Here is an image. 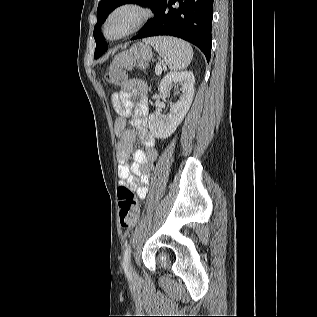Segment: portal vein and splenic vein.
Masks as SVG:
<instances>
[{"label":"portal vein and splenic vein","instance_id":"1","mask_svg":"<svg viewBox=\"0 0 317 317\" xmlns=\"http://www.w3.org/2000/svg\"><path fill=\"white\" fill-rule=\"evenodd\" d=\"M155 72L158 75L162 72L161 64H157L156 65Z\"/></svg>","mask_w":317,"mask_h":317}]
</instances>
